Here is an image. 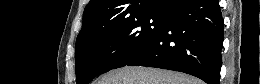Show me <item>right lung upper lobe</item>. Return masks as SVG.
Segmentation results:
<instances>
[{
    "instance_id": "right-lung-upper-lobe-1",
    "label": "right lung upper lobe",
    "mask_w": 260,
    "mask_h": 84,
    "mask_svg": "<svg viewBox=\"0 0 260 84\" xmlns=\"http://www.w3.org/2000/svg\"><path fill=\"white\" fill-rule=\"evenodd\" d=\"M187 0H90L83 13V26L76 43L90 38L94 30L108 22L143 14H168Z\"/></svg>"
}]
</instances>
